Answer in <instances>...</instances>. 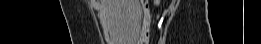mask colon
Instances as JSON below:
<instances>
[{
    "label": "colon",
    "instance_id": "obj_1",
    "mask_svg": "<svg viewBox=\"0 0 261 44\" xmlns=\"http://www.w3.org/2000/svg\"><path fill=\"white\" fill-rule=\"evenodd\" d=\"M142 4H143V13H144V18L143 20L145 21L146 20V17H147V7H146V1H141Z\"/></svg>",
    "mask_w": 261,
    "mask_h": 44
}]
</instances>
